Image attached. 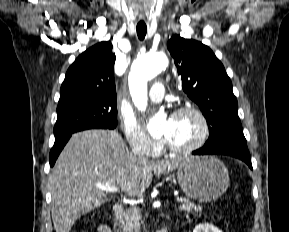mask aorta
Wrapping results in <instances>:
<instances>
[{"mask_svg":"<svg viewBox=\"0 0 289 232\" xmlns=\"http://www.w3.org/2000/svg\"><path fill=\"white\" fill-rule=\"evenodd\" d=\"M168 65V59L163 53H147L138 57L132 64L129 74V90L134 104L141 111L147 106V82ZM147 129L151 135L161 133V118L157 115L149 120Z\"/></svg>","mask_w":289,"mask_h":232,"instance_id":"1","label":"aorta"}]
</instances>
